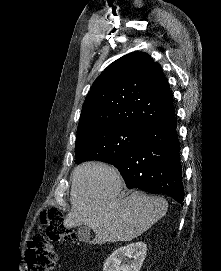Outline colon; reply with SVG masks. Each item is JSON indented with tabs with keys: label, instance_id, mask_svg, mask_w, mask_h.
<instances>
[{
	"label": "colon",
	"instance_id": "colon-1",
	"mask_svg": "<svg viewBox=\"0 0 221 271\" xmlns=\"http://www.w3.org/2000/svg\"><path fill=\"white\" fill-rule=\"evenodd\" d=\"M41 217L42 223L46 225V235L39 232L29 240L24 254L25 271H52L58 259L53 242H73L81 237L79 232L66 226L64 214L59 207L45 208Z\"/></svg>",
	"mask_w": 221,
	"mask_h": 271
}]
</instances>
